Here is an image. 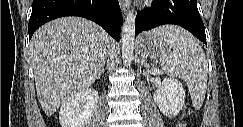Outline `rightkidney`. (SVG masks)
Wrapping results in <instances>:
<instances>
[{"mask_svg": "<svg viewBox=\"0 0 243 127\" xmlns=\"http://www.w3.org/2000/svg\"><path fill=\"white\" fill-rule=\"evenodd\" d=\"M98 92L92 88L82 90L61 106L59 122L62 127H85L97 108Z\"/></svg>", "mask_w": 243, "mask_h": 127, "instance_id": "obj_1", "label": "right kidney"}]
</instances>
